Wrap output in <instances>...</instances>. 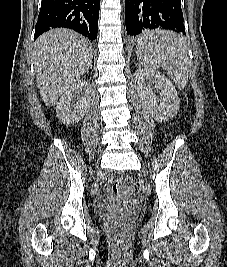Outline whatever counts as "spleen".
Wrapping results in <instances>:
<instances>
[{
  "mask_svg": "<svg viewBox=\"0 0 227 267\" xmlns=\"http://www.w3.org/2000/svg\"><path fill=\"white\" fill-rule=\"evenodd\" d=\"M135 55L141 67L155 70L160 65L175 82L184 88L188 78V51L186 41L171 31H152L137 38Z\"/></svg>",
  "mask_w": 227,
  "mask_h": 267,
  "instance_id": "spleen-1",
  "label": "spleen"
}]
</instances>
